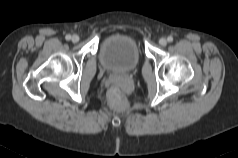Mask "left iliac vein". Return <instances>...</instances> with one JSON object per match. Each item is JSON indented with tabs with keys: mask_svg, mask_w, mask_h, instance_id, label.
<instances>
[{
	"mask_svg": "<svg viewBox=\"0 0 238 158\" xmlns=\"http://www.w3.org/2000/svg\"><path fill=\"white\" fill-rule=\"evenodd\" d=\"M159 44H160L161 46H166V45H167V40H166L165 38H160Z\"/></svg>",
	"mask_w": 238,
	"mask_h": 158,
	"instance_id": "obj_1",
	"label": "left iliac vein"
}]
</instances>
